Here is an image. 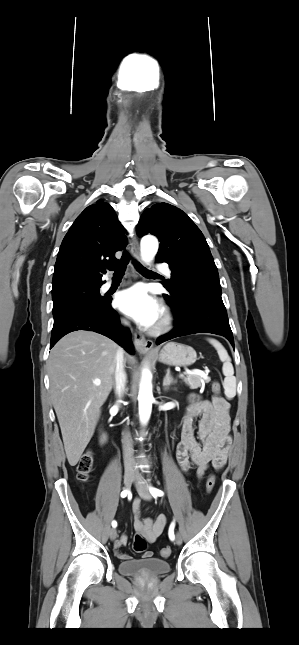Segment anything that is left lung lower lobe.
Segmentation results:
<instances>
[{
    "instance_id": "obj_1",
    "label": "left lung lower lobe",
    "mask_w": 299,
    "mask_h": 645,
    "mask_svg": "<svg viewBox=\"0 0 299 645\" xmlns=\"http://www.w3.org/2000/svg\"><path fill=\"white\" fill-rule=\"evenodd\" d=\"M165 288L169 294L163 296L175 314V328L159 337L157 345L184 335L212 333L224 336L234 347L219 277L189 275L175 289Z\"/></svg>"
}]
</instances>
